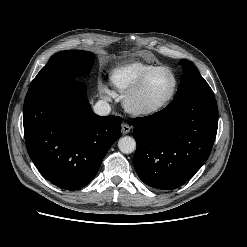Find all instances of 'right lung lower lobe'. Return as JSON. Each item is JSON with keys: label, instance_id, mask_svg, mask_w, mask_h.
<instances>
[{"label": "right lung lower lobe", "instance_id": "obj_1", "mask_svg": "<svg viewBox=\"0 0 247 247\" xmlns=\"http://www.w3.org/2000/svg\"><path fill=\"white\" fill-rule=\"evenodd\" d=\"M23 124L31 160L48 181L66 190L87 185L121 135V118L93 113L85 84L75 79L29 89Z\"/></svg>", "mask_w": 247, "mask_h": 247}]
</instances>
